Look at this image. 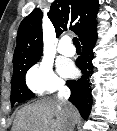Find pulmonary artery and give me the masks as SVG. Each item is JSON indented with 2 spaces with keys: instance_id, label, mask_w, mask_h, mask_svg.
I'll return each mask as SVG.
<instances>
[{
  "instance_id": "e3ab8cb5",
  "label": "pulmonary artery",
  "mask_w": 117,
  "mask_h": 131,
  "mask_svg": "<svg viewBox=\"0 0 117 131\" xmlns=\"http://www.w3.org/2000/svg\"><path fill=\"white\" fill-rule=\"evenodd\" d=\"M58 52L65 56H73L75 54V48L71 44L69 37H64L58 44Z\"/></svg>"
}]
</instances>
